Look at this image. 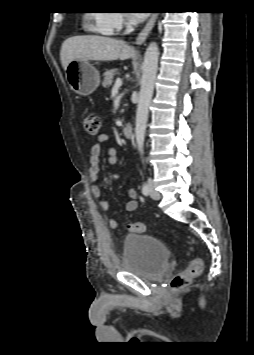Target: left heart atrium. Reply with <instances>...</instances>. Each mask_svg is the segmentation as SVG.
<instances>
[{
    "label": "left heart atrium",
    "instance_id": "left-heart-atrium-1",
    "mask_svg": "<svg viewBox=\"0 0 254 355\" xmlns=\"http://www.w3.org/2000/svg\"><path fill=\"white\" fill-rule=\"evenodd\" d=\"M131 15H132V21L134 23L142 22L147 16L146 13H137V12H134Z\"/></svg>",
    "mask_w": 254,
    "mask_h": 355
}]
</instances>
